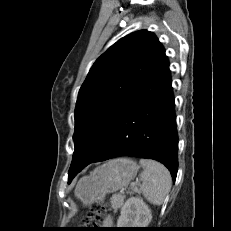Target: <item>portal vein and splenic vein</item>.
Masks as SVG:
<instances>
[{
    "label": "portal vein and splenic vein",
    "mask_w": 231,
    "mask_h": 231,
    "mask_svg": "<svg viewBox=\"0 0 231 231\" xmlns=\"http://www.w3.org/2000/svg\"><path fill=\"white\" fill-rule=\"evenodd\" d=\"M131 188H134V189H136V187H135V184H132V185H131Z\"/></svg>",
    "instance_id": "18ae733b"
}]
</instances>
